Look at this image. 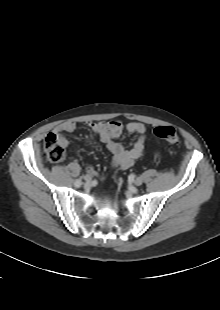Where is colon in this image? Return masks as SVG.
Returning a JSON list of instances; mask_svg holds the SVG:
<instances>
[{
  "instance_id": "5ec220e1",
  "label": "colon",
  "mask_w": 220,
  "mask_h": 310,
  "mask_svg": "<svg viewBox=\"0 0 220 310\" xmlns=\"http://www.w3.org/2000/svg\"><path fill=\"white\" fill-rule=\"evenodd\" d=\"M154 135L170 144L180 142L177 131L170 126H158L153 131ZM44 156L49 162H61L65 158V147L55 133H49L44 141Z\"/></svg>"
}]
</instances>
